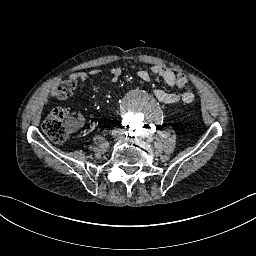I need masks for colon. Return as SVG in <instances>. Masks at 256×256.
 I'll return each instance as SVG.
<instances>
[{
  "label": "colon",
  "mask_w": 256,
  "mask_h": 256,
  "mask_svg": "<svg viewBox=\"0 0 256 256\" xmlns=\"http://www.w3.org/2000/svg\"><path fill=\"white\" fill-rule=\"evenodd\" d=\"M77 84L76 78H70L60 83L56 91L57 100L64 101L69 98L75 91ZM188 84V77L184 73H179L177 75V86L184 89ZM42 128L52 141L63 142L75 128V122L69 117L65 108H58L43 122Z\"/></svg>",
  "instance_id": "1"
}]
</instances>
